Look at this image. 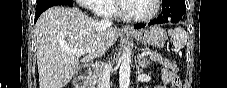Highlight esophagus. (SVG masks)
Here are the masks:
<instances>
[{"instance_id":"obj_1","label":"esophagus","mask_w":227,"mask_h":88,"mask_svg":"<svg viewBox=\"0 0 227 88\" xmlns=\"http://www.w3.org/2000/svg\"><path fill=\"white\" fill-rule=\"evenodd\" d=\"M121 29L123 31H128V32L133 30V28L131 26H129V25H123Z\"/></svg>"}]
</instances>
